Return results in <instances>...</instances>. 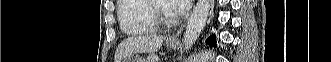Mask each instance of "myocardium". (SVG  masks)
<instances>
[{"mask_svg": "<svg viewBox=\"0 0 331 62\" xmlns=\"http://www.w3.org/2000/svg\"><path fill=\"white\" fill-rule=\"evenodd\" d=\"M148 11L152 22L156 26L165 27L172 24V16L163 10L160 1H148Z\"/></svg>", "mask_w": 331, "mask_h": 62, "instance_id": "1", "label": "myocardium"}]
</instances>
